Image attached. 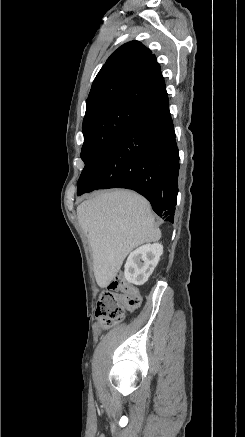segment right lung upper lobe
Returning <instances> with one entry per match:
<instances>
[{"instance_id": "1", "label": "right lung upper lobe", "mask_w": 245, "mask_h": 437, "mask_svg": "<svg viewBox=\"0 0 245 437\" xmlns=\"http://www.w3.org/2000/svg\"><path fill=\"white\" fill-rule=\"evenodd\" d=\"M167 98L155 55L134 40L114 51L97 74L86 100V113L106 103L126 102L143 108Z\"/></svg>"}]
</instances>
